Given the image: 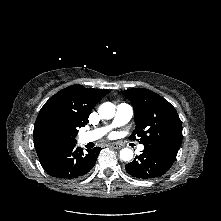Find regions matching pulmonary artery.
<instances>
[{"instance_id": "pulmonary-artery-1", "label": "pulmonary artery", "mask_w": 221, "mask_h": 221, "mask_svg": "<svg viewBox=\"0 0 221 221\" xmlns=\"http://www.w3.org/2000/svg\"><path fill=\"white\" fill-rule=\"evenodd\" d=\"M132 116H133L132 106L127 103H121L116 107L115 117L110 126H106V127H102V128H98L92 131L82 133L79 136V140L81 143H84V144L94 142L98 140L99 138H101L112 127H117V126H121V125L128 123L131 120ZM138 149L143 150L144 146L139 145Z\"/></svg>"}]
</instances>
